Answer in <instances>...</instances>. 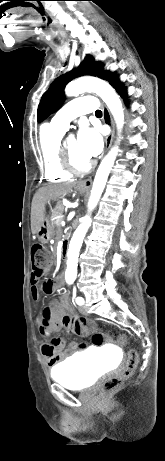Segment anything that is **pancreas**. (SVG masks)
Here are the masks:
<instances>
[{
	"label": "pancreas",
	"instance_id": "obj_1",
	"mask_svg": "<svg viewBox=\"0 0 165 461\" xmlns=\"http://www.w3.org/2000/svg\"><path fill=\"white\" fill-rule=\"evenodd\" d=\"M63 213L64 206L62 204H57L56 207L52 210L51 224L53 228L56 227V233H61V222L63 220Z\"/></svg>",
	"mask_w": 165,
	"mask_h": 461
}]
</instances>
